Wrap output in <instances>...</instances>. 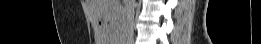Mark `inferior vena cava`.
Masks as SVG:
<instances>
[{"mask_svg":"<svg viewBox=\"0 0 261 44\" xmlns=\"http://www.w3.org/2000/svg\"><path fill=\"white\" fill-rule=\"evenodd\" d=\"M131 4L126 7V36L132 37L134 33V7L133 2L134 0H130Z\"/></svg>","mask_w":261,"mask_h":44,"instance_id":"obj_1","label":"inferior vena cava"}]
</instances>
